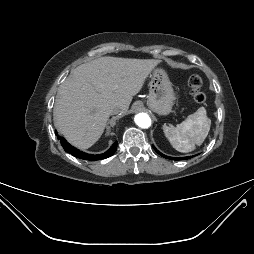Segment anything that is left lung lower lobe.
I'll return each instance as SVG.
<instances>
[{"label":"left lung lower lobe","mask_w":254,"mask_h":254,"mask_svg":"<svg viewBox=\"0 0 254 254\" xmlns=\"http://www.w3.org/2000/svg\"><path fill=\"white\" fill-rule=\"evenodd\" d=\"M153 148L155 149V151H156L158 154H160L162 157L167 158V159L182 160V159H188V158H190V157H184V158H173V157H168V156L163 155L162 153H160L155 147H153Z\"/></svg>","instance_id":"0a47b994"}]
</instances>
